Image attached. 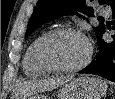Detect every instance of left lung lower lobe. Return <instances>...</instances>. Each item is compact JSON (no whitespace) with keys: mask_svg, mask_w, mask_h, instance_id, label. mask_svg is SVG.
<instances>
[{"mask_svg":"<svg viewBox=\"0 0 115 99\" xmlns=\"http://www.w3.org/2000/svg\"><path fill=\"white\" fill-rule=\"evenodd\" d=\"M112 11V18L115 19V5ZM113 29H115V24L113 25ZM104 31L105 29L97 38L98 52L95 58L87 67L79 71V73L95 74L115 82V34L112 36L114 40L107 43L102 40Z\"/></svg>","mask_w":115,"mask_h":99,"instance_id":"obj_1","label":"left lung lower lobe"}]
</instances>
